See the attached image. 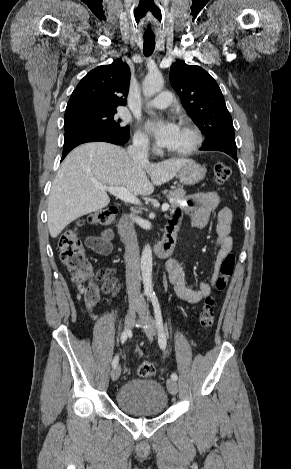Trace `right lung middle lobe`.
<instances>
[{
  "mask_svg": "<svg viewBox=\"0 0 291 469\" xmlns=\"http://www.w3.org/2000/svg\"><path fill=\"white\" fill-rule=\"evenodd\" d=\"M116 109H90L65 114V131L74 128H96L103 130H129L120 125L121 120L115 117Z\"/></svg>",
  "mask_w": 291,
  "mask_h": 469,
  "instance_id": "obj_1",
  "label": "right lung middle lobe"
}]
</instances>
